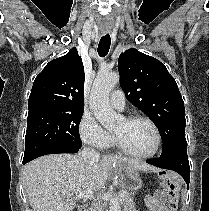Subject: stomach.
Returning <instances> with one entry per match:
<instances>
[{
  "instance_id": "0dacf381",
  "label": "stomach",
  "mask_w": 209,
  "mask_h": 211,
  "mask_svg": "<svg viewBox=\"0 0 209 211\" xmlns=\"http://www.w3.org/2000/svg\"><path fill=\"white\" fill-rule=\"evenodd\" d=\"M117 175L119 177V184L124 191L134 193L142 187L141 178L128 166L118 168Z\"/></svg>"
}]
</instances>
